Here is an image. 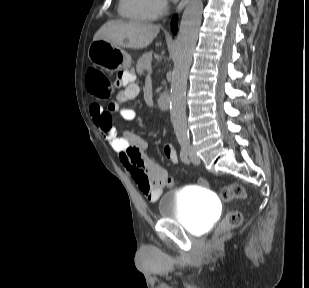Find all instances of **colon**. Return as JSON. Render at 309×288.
I'll list each match as a JSON object with an SVG mask.
<instances>
[{"mask_svg": "<svg viewBox=\"0 0 309 288\" xmlns=\"http://www.w3.org/2000/svg\"><path fill=\"white\" fill-rule=\"evenodd\" d=\"M116 87H118L116 85ZM86 88L88 92L99 98L109 97L114 87L107 76L98 69L89 68L86 74ZM199 183L201 186H206L207 181L205 178H200ZM167 184L173 186L176 184V180L169 178ZM221 198L223 201L229 202L234 199H245L246 190L244 186L240 183H232L224 186L221 189ZM242 222V215L238 211H231L227 214L223 229H229L238 226Z\"/></svg>", "mask_w": 309, "mask_h": 288, "instance_id": "1", "label": "colon"}]
</instances>
